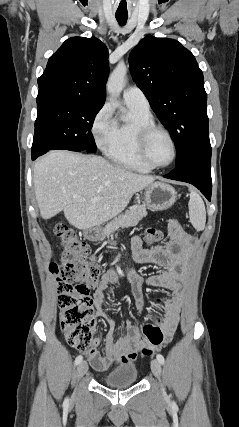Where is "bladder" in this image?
I'll list each match as a JSON object with an SVG mask.
<instances>
[{"mask_svg": "<svg viewBox=\"0 0 239 427\" xmlns=\"http://www.w3.org/2000/svg\"><path fill=\"white\" fill-rule=\"evenodd\" d=\"M138 373L134 367L121 368L106 375L103 382L106 386L115 389L127 388L137 381Z\"/></svg>", "mask_w": 239, "mask_h": 427, "instance_id": "31cf9c89", "label": "bladder"}]
</instances>
